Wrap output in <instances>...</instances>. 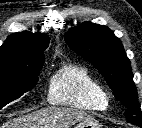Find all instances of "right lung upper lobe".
<instances>
[{
	"mask_svg": "<svg viewBox=\"0 0 142 128\" xmlns=\"http://www.w3.org/2000/svg\"><path fill=\"white\" fill-rule=\"evenodd\" d=\"M49 37L28 31L15 33L0 48V78L14 77L32 63L44 60Z\"/></svg>",
	"mask_w": 142,
	"mask_h": 128,
	"instance_id": "right-lung-upper-lobe-1",
	"label": "right lung upper lobe"
}]
</instances>
